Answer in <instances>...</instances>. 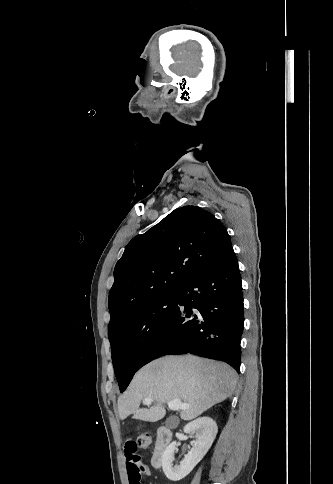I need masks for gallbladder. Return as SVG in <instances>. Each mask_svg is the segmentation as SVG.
Listing matches in <instances>:
<instances>
[{"mask_svg": "<svg viewBox=\"0 0 333 484\" xmlns=\"http://www.w3.org/2000/svg\"><path fill=\"white\" fill-rule=\"evenodd\" d=\"M175 419L174 416H170L166 419L165 421V425L168 427V428H172L173 427V420Z\"/></svg>", "mask_w": 333, "mask_h": 484, "instance_id": "1", "label": "gallbladder"}]
</instances>
